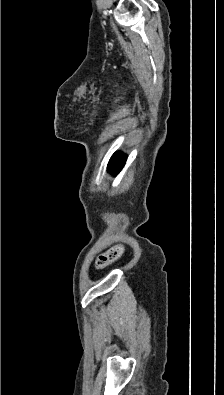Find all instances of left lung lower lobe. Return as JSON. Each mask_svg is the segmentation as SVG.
Wrapping results in <instances>:
<instances>
[{"mask_svg":"<svg viewBox=\"0 0 224 395\" xmlns=\"http://www.w3.org/2000/svg\"><path fill=\"white\" fill-rule=\"evenodd\" d=\"M126 157L122 155L121 153H115L108 164V169L111 171L113 174H118L122 167L125 164Z\"/></svg>","mask_w":224,"mask_h":395,"instance_id":"1","label":"left lung lower lobe"}]
</instances>
